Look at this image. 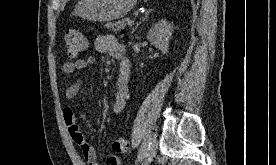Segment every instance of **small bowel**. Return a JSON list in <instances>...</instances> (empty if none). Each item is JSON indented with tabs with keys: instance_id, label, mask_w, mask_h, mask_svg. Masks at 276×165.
Wrapping results in <instances>:
<instances>
[{
	"instance_id": "small-bowel-1",
	"label": "small bowel",
	"mask_w": 276,
	"mask_h": 165,
	"mask_svg": "<svg viewBox=\"0 0 276 165\" xmlns=\"http://www.w3.org/2000/svg\"><path fill=\"white\" fill-rule=\"evenodd\" d=\"M95 48L99 52L107 53L118 61L119 73L116 81L115 101L113 104V111L120 113L129 98V77L131 66L129 59L126 56V47L120 43L111 34H100L95 39ZM97 61L94 56L77 59L75 61H66L62 64V72L66 75L73 74L76 71H84L96 65ZM82 81L77 80L74 84L69 86L66 90V97L68 99L74 98L80 87ZM63 119L69 135L73 142L80 148L84 160L87 165H101L96 158V153L93 147L86 141L81 133L76 121L73 110L69 107L63 109ZM119 158L111 155L106 160V165H119Z\"/></svg>"
}]
</instances>
